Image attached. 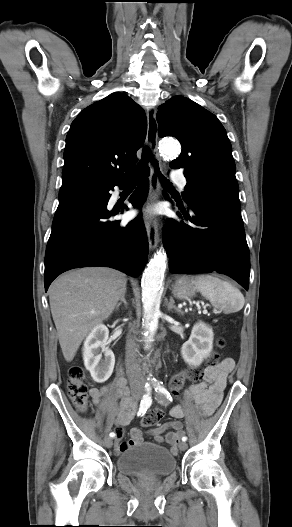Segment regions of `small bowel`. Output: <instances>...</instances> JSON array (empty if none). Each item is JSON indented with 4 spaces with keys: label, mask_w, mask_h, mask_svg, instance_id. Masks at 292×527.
Listing matches in <instances>:
<instances>
[{
    "label": "small bowel",
    "mask_w": 292,
    "mask_h": 527,
    "mask_svg": "<svg viewBox=\"0 0 292 527\" xmlns=\"http://www.w3.org/2000/svg\"><path fill=\"white\" fill-rule=\"evenodd\" d=\"M233 366V360L231 358H225L217 366L206 369L204 382L192 384L187 388V397L194 401L203 415H211L220 404L226 386L227 376L232 371ZM111 393L120 399L116 417L118 429L116 430L117 441L115 450L117 453H121L129 447L141 443L143 441V431L134 428L131 431V439L126 442H120L123 436L122 428L127 426L135 416L136 405L130 400L122 379L116 380L111 385L90 390V396L95 404H98L103 396ZM170 414L175 418L174 421L161 424L151 429L149 433L154 437L156 442L161 443L164 441L163 434L166 431L170 429L175 430L166 433V440L172 445L173 453H176V444L182 431V423L179 420L183 417V410L177 405L171 409Z\"/></svg>",
    "instance_id": "small-bowel-1"
}]
</instances>
